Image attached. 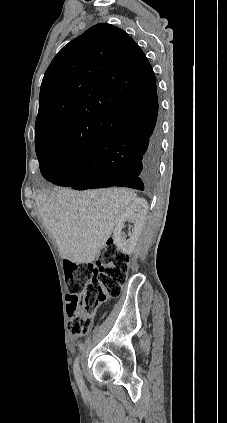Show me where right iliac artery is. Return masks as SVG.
Masks as SVG:
<instances>
[{"instance_id":"82829eb1","label":"right iliac artery","mask_w":227,"mask_h":423,"mask_svg":"<svg viewBox=\"0 0 227 423\" xmlns=\"http://www.w3.org/2000/svg\"><path fill=\"white\" fill-rule=\"evenodd\" d=\"M73 371H74V377H75V379L77 381V384H78L79 388L80 389H83L84 388V382H83V379H82V376H81V372H80L79 357H76V359L74 361Z\"/></svg>"}]
</instances>
